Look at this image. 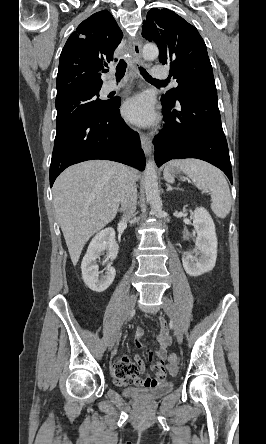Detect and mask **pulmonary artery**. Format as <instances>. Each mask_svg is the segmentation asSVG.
<instances>
[{
    "label": "pulmonary artery",
    "mask_w": 266,
    "mask_h": 444,
    "mask_svg": "<svg viewBox=\"0 0 266 444\" xmlns=\"http://www.w3.org/2000/svg\"><path fill=\"white\" fill-rule=\"evenodd\" d=\"M151 75L153 78L165 80L168 78V73L166 71V68L164 66H153L151 68ZM172 86H176V82L173 80L171 81ZM125 86V83H115V82H108L106 84L105 90L106 92L115 91L118 89H121Z\"/></svg>",
    "instance_id": "pulmonary-artery-1"
}]
</instances>
